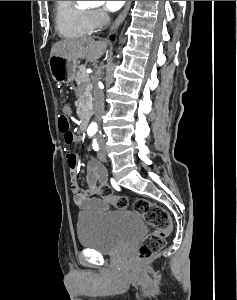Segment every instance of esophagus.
<instances>
[{
	"label": "esophagus",
	"mask_w": 237,
	"mask_h": 300,
	"mask_svg": "<svg viewBox=\"0 0 237 300\" xmlns=\"http://www.w3.org/2000/svg\"><path fill=\"white\" fill-rule=\"evenodd\" d=\"M131 2L132 1H126V4L123 8V10L121 11V13L119 14V16L115 19L114 23L112 24V26L110 27V30L111 31H114L115 29L118 28V26H120V24L124 21L128 11H129V8H130V5H131Z\"/></svg>",
	"instance_id": "34e87169"
}]
</instances>
